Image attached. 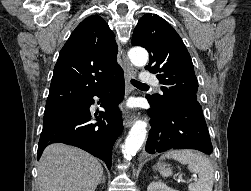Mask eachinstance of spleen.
<instances>
[{
    "label": "spleen",
    "mask_w": 251,
    "mask_h": 191,
    "mask_svg": "<svg viewBox=\"0 0 251 191\" xmlns=\"http://www.w3.org/2000/svg\"><path fill=\"white\" fill-rule=\"evenodd\" d=\"M165 157H172L177 159L180 163H187L189 171L198 173V181L196 183H189V191H212L214 169L211 161L201 151L196 149H171L161 155V159ZM163 177L172 175L171 169H161Z\"/></svg>",
    "instance_id": "1"
}]
</instances>
